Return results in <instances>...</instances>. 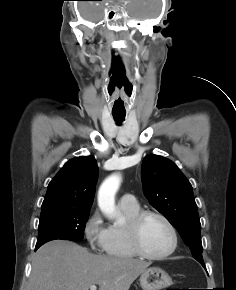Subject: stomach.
Instances as JSON below:
<instances>
[{"mask_svg": "<svg viewBox=\"0 0 236 290\" xmlns=\"http://www.w3.org/2000/svg\"><path fill=\"white\" fill-rule=\"evenodd\" d=\"M139 282L143 290H162L172 285L171 277L158 267H151L142 272Z\"/></svg>", "mask_w": 236, "mask_h": 290, "instance_id": "obj_1", "label": "stomach"}]
</instances>
